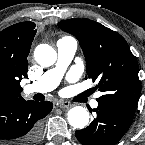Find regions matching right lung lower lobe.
I'll list each match as a JSON object with an SVG mask.
<instances>
[{
  "label": "right lung lower lobe",
  "mask_w": 145,
  "mask_h": 145,
  "mask_svg": "<svg viewBox=\"0 0 145 145\" xmlns=\"http://www.w3.org/2000/svg\"><path fill=\"white\" fill-rule=\"evenodd\" d=\"M53 108L49 101L23 98L0 101V142L36 145L41 137V119Z\"/></svg>",
  "instance_id": "obj_1"
}]
</instances>
